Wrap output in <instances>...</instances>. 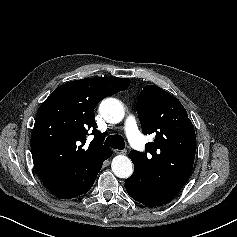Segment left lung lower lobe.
<instances>
[{"label": "left lung lower lobe", "instance_id": "left-lung-lower-lobe-1", "mask_svg": "<svg viewBox=\"0 0 237 237\" xmlns=\"http://www.w3.org/2000/svg\"><path fill=\"white\" fill-rule=\"evenodd\" d=\"M125 187H126L128 194L134 200H136L146 206L157 207V206L163 205V204L153 203V202L146 200L140 193V190L138 189V187L135 185L133 176H131L125 180Z\"/></svg>", "mask_w": 237, "mask_h": 237}]
</instances>
